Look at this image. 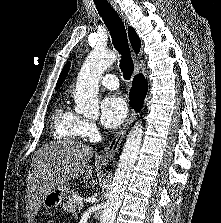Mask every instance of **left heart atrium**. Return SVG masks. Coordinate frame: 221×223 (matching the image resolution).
Instances as JSON below:
<instances>
[{
    "label": "left heart atrium",
    "mask_w": 221,
    "mask_h": 223,
    "mask_svg": "<svg viewBox=\"0 0 221 223\" xmlns=\"http://www.w3.org/2000/svg\"><path fill=\"white\" fill-rule=\"evenodd\" d=\"M101 123L107 128H116L127 116V105L119 96H108L100 105Z\"/></svg>",
    "instance_id": "1"
}]
</instances>
